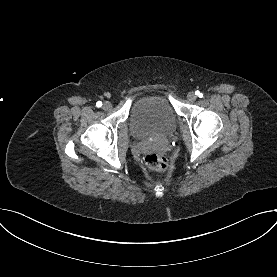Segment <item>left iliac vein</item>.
<instances>
[{
    "label": "left iliac vein",
    "instance_id": "left-iliac-vein-1",
    "mask_svg": "<svg viewBox=\"0 0 277 277\" xmlns=\"http://www.w3.org/2000/svg\"><path fill=\"white\" fill-rule=\"evenodd\" d=\"M196 94L194 92H189L187 94V99L190 101V102H194L196 100Z\"/></svg>",
    "mask_w": 277,
    "mask_h": 277
}]
</instances>
